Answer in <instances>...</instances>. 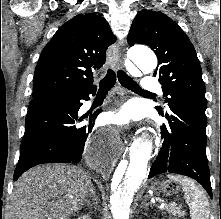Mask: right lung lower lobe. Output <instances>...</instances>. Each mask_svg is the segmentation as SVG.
Wrapping results in <instances>:
<instances>
[{"mask_svg":"<svg viewBox=\"0 0 221 219\" xmlns=\"http://www.w3.org/2000/svg\"><path fill=\"white\" fill-rule=\"evenodd\" d=\"M96 89L58 94L32 99L21 142V153L14 172V181L29 168L43 163L79 162L84 147H88L94 120L100 111L89 116V124L82 125L85 118L77 113L82 100H88ZM87 141V142H86ZM93 157L98 158L103 147L91 143Z\"/></svg>","mask_w":221,"mask_h":219,"instance_id":"obj_1","label":"right lung lower lobe"}]
</instances>
